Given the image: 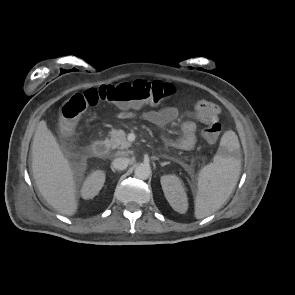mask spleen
Instances as JSON below:
<instances>
[{
  "mask_svg": "<svg viewBox=\"0 0 295 295\" xmlns=\"http://www.w3.org/2000/svg\"><path fill=\"white\" fill-rule=\"evenodd\" d=\"M239 149L235 132H225L213 162L201 169L195 197L194 214L197 219L213 214L232 193L241 171Z\"/></svg>",
  "mask_w": 295,
  "mask_h": 295,
  "instance_id": "3e777b00",
  "label": "spleen"
}]
</instances>
